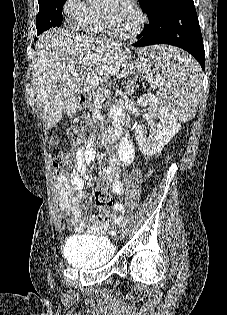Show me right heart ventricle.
<instances>
[{
  "mask_svg": "<svg viewBox=\"0 0 227 315\" xmlns=\"http://www.w3.org/2000/svg\"><path fill=\"white\" fill-rule=\"evenodd\" d=\"M95 13L96 15L82 27L83 31L90 35H100L105 31L100 14L96 11Z\"/></svg>",
  "mask_w": 227,
  "mask_h": 315,
  "instance_id": "e07e8e85",
  "label": "right heart ventricle"
}]
</instances>
